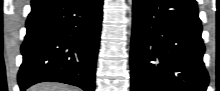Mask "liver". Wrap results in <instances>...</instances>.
Masks as SVG:
<instances>
[{
  "instance_id": "obj_1",
  "label": "liver",
  "mask_w": 220,
  "mask_h": 91,
  "mask_svg": "<svg viewBox=\"0 0 220 91\" xmlns=\"http://www.w3.org/2000/svg\"><path fill=\"white\" fill-rule=\"evenodd\" d=\"M28 91H79L77 88L70 87L64 84L58 83H40L29 88Z\"/></svg>"
}]
</instances>
